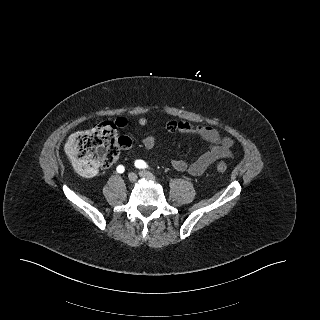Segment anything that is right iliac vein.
Segmentation results:
<instances>
[{"label":"right iliac vein","mask_w":320,"mask_h":320,"mask_svg":"<svg viewBox=\"0 0 320 320\" xmlns=\"http://www.w3.org/2000/svg\"><path fill=\"white\" fill-rule=\"evenodd\" d=\"M128 180L130 182H135L137 180V175L135 173H129L128 174Z\"/></svg>","instance_id":"63e3f726"}]
</instances>
